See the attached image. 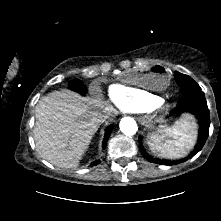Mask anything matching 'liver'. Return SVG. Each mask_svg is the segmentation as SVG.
<instances>
[{
	"mask_svg": "<svg viewBox=\"0 0 221 221\" xmlns=\"http://www.w3.org/2000/svg\"><path fill=\"white\" fill-rule=\"evenodd\" d=\"M111 108L101 95L82 97L63 90L36 105L34 140L39 155L60 168H76L101 125L99 114Z\"/></svg>",
	"mask_w": 221,
	"mask_h": 221,
	"instance_id": "obj_1",
	"label": "liver"
}]
</instances>
